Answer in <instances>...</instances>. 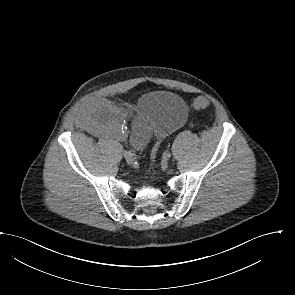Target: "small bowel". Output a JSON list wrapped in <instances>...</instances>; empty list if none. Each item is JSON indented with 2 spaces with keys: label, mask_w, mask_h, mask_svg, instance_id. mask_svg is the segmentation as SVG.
<instances>
[{
  "label": "small bowel",
  "mask_w": 295,
  "mask_h": 295,
  "mask_svg": "<svg viewBox=\"0 0 295 295\" xmlns=\"http://www.w3.org/2000/svg\"><path fill=\"white\" fill-rule=\"evenodd\" d=\"M123 117L124 113L106 99L91 101L82 114L84 123L104 134H112L120 126ZM131 124L130 143L135 149L141 150L151 138V126L140 114L133 115ZM120 136L123 137V133Z\"/></svg>",
  "instance_id": "obj_1"
}]
</instances>
